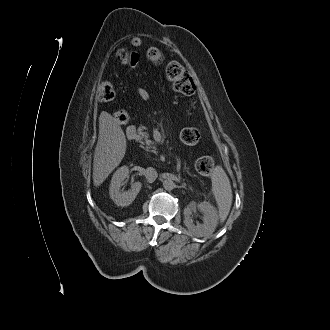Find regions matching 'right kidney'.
Wrapping results in <instances>:
<instances>
[{
	"instance_id": "1",
	"label": "right kidney",
	"mask_w": 330,
	"mask_h": 330,
	"mask_svg": "<svg viewBox=\"0 0 330 330\" xmlns=\"http://www.w3.org/2000/svg\"><path fill=\"white\" fill-rule=\"evenodd\" d=\"M129 169L127 166H122L116 170L111 179L109 187L110 198L117 206H129L141 190V182H135L131 185L128 191H121L122 182L128 177Z\"/></svg>"
}]
</instances>
